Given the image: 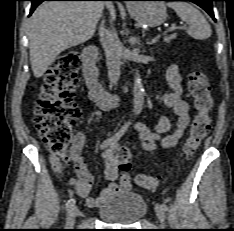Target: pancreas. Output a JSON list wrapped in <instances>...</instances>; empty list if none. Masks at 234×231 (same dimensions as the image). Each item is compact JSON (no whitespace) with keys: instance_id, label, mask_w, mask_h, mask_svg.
Segmentation results:
<instances>
[{"instance_id":"cf45deb5","label":"pancreas","mask_w":234,"mask_h":231,"mask_svg":"<svg viewBox=\"0 0 234 231\" xmlns=\"http://www.w3.org/2000/svg\"><path fill=\"white\" fill-rule=\"evenodd\" d=\"M176 36H177L176 34H171V35L165 37L164 41L167 42V43H169V41H170L171 39H175Z\"/></svg>"}]
</instances>
